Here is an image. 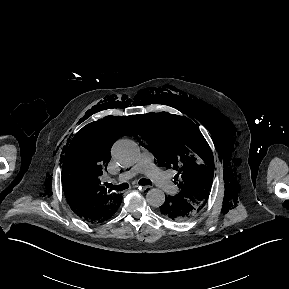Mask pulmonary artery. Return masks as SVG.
<instances>
[{
    "mask_svg": "<svg viewBox=\"0 0 289 289\" xmlns=\"http://www.w3.org/2000/svg\"><path fill=\"white\" fill-rule=\"evenodd\" d=\"M153 160V154L148 150H144L141 153L137 163L129 170L121 173L118 176V180L126 181L137 176L138 174H145L165 192L174 191L176 187L173 182L164 171L159 169L154 164Z\"/></svg>",
    "mask_w": 289,
    "mask_h": 289,
    "instance_id": "pulmonary-artery-1",
    "label": "pulmonary artery"
}]
</instances>
